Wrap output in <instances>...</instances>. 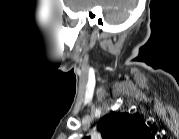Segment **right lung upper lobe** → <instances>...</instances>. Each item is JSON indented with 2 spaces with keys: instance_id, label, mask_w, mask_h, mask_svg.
I'll return each instance as SVG.
<instances>
[{
  "instance_id": "cb5924a9",
  "label": "right lung upper lobe",
  "mask_w": 179,
  "mask_h": 139,
  "mask_svg": "<svg viewBox=\"0 0 179 139\" xmlns=\"http://www.w3.org/2000/svg\"><path fill=\"white\" fill-rule=\"evenodd\" d=\"M103 139H149L147 125L129 113L105 115L98 124Z\"/></svg>"
}]
</instances>
